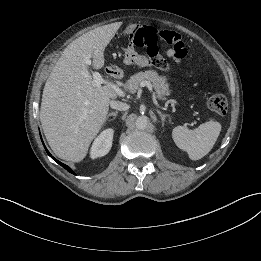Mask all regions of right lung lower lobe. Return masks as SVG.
<instances>
[{"instance_id":"1","label":"right lung lower lobe","mask_w":261,"mask_h":261,"mask_svg":"<svg viewBox=\"0 0 261 261\" xmlns=\"http://www.w3.org/2000/svg\"><path fill=\"white\" fill-rule=\"evenodd\" d=\"M43 142V141H42ZM45 147V146H44ZM45 149H46V147H45ZM46 151H47V153H48V155L53 159V160H55L58 164H60L62 167H64L67 171H69L70 173H73V171L71 170V168L70 167H68L67 165H65V164H63V163H61L60 161H58V160H56L50 153H49V151L46 149Z\"/></svg>"}]
</instances>
